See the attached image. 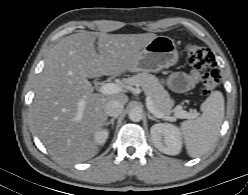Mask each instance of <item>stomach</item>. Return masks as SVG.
Masks as SVG:
<instances>
[{
    "label": "stomach",
    "mask_w": 248,
    "mask_h": 195,
    "mask_svg": "<svg viewBox=\"0 0 248 195\" xmlns=\"http://www.w3.org/2000/svg\"><path fill=\"white\" fill-rule=\"evenodd\" d=\"M179 53L175 41L167 36H157L139 53L133 72H158L178 62Z\"/></svg>",
    "instance_id": "obj_1"
}]
</instances>
